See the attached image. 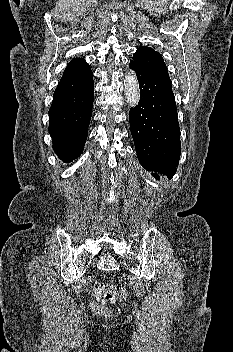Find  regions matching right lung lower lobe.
<instances>
[{
    "mask_svg": "<svg viewBox=\"0 0 233 352\" xmlns=\"http://www.w3.org/2000/svg\"><path fill=\"white\" fill-rule=\"evenodd\" d=\"M93 99L94 83L90 68L58 83L49 109V132L53 149L64 162L73 161L84 149Z\"/></svg>",
    "mask_w": 233,
    "mask_h": 352,
    "instance_id": "right-lung-lower-lobe-1",
    "label": "right lung lower lobe"
}]
</instances>
